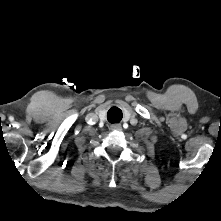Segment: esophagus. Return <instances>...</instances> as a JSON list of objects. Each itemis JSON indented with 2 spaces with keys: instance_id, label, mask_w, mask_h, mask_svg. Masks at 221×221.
<instances>
[{
  "instance_id": "34e87169",
  "label": "esophagus",
  "mask_w": 221,
  "mask_h": 221,
  "mask_svg": "<svg viewBox=\"0 0 221 221\" xmlns=\"http://www.w3.org/2000/svg\"><path fill=\"white\" fill-rule=\"evenodd\" d=\"M122 126L120 124H115L111 126V130H121Z\"/></svg>"
}]
</instances>
